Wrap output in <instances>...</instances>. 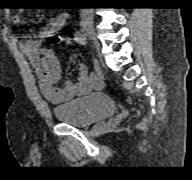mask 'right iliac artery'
I'll list each match as a JSON object with an SVG mask.
<instances>
[{
  "label": "right iliac artery",
  "instance_id": "right-iliac-artery-1",
  "mask_svg": "<svg viewBox=\"0 0 192 180\" xmlns=\"http://www.w3.org/2000/svg\"><path fill=\"white\" fill-rule=\"evenodd\" d=\"M74 40H75L76 42H78L79 44H81V45H86V44H87V38H86V36H85L83 33H81L80 31H77V32L75 33Z\"/></svg>",
  "mask_w": 192,
  "mask_h": 180
}]
</instances>
